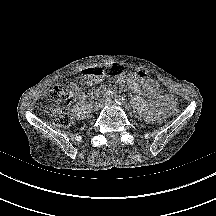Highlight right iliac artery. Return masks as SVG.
<instances>
[{
    "label": "right iliac artery",
    "mask_w": 216,
    "mask_h": 216,
    "mask_svg": "<svg viewBox=\"0 0 216 216\" xmlns=\"http://www.w3.org/2000/svg\"><path fill=\"white\" fill-rule=\"evenodd\" d=\"M113 96H114V92L109 90V91H107V92L105 93L104 99H105V100H110L111 98H113Z\"/></svg>",
    "instance_id": "1"
}]
</instances>
